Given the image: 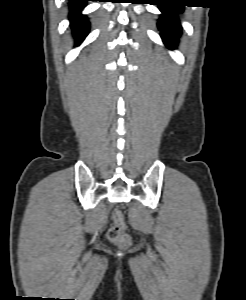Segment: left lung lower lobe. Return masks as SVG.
Returning <instances> with one entry per match:
<instances>
[{
    "label": "left lung lower lobe",
    "instance_id": "obj_1",
    "mask_svg": "<svg viewBox=\"0 0 246 300\" xmlns=\"http://www.w3.org/2000/svg\"><path fill=\"white\" fill-rule=\"evenodd\" d=\"M163 13L158 22L161 37L169 49L176 48L178 37L181 34V27L177 14L184 11V5L174 0H155Z\"/></svg>",
    "mask_w": 246,
    "mask_h": 300
}]
</instances>
